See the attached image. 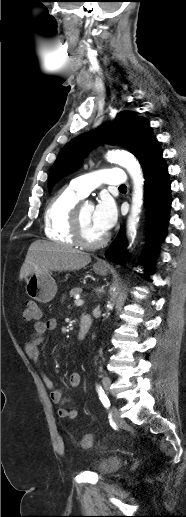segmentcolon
<instances>
[{"label":"colon","instance_id":"5ec220e1","mask_svg":"<svg viewBox=\"0 0 186 517\" xmlns=\"http://www.w3.org/2000/svg\"><path fill=\"white\" fill-rule=\"evenodd\" d=\"M40 318V310L38 304L29 300L26 302L25 311H24V319L26 320H38ZM93 443V435L87 434L85 435L77 444L81 448H88Z\"/></svg>","mask_w":186,"mask_h":517}]
</instances>
